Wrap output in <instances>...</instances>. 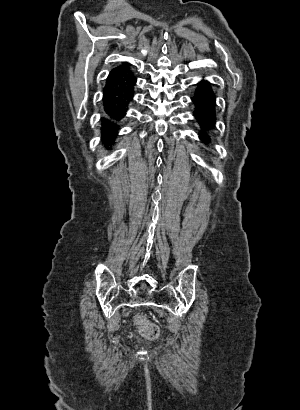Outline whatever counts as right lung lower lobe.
Listing matches in <instances>:
<instances>
[{
    "label": "right lung lower lobe",
    "instance_id": "98d812e1",
    "mask_svg": "<svg viewBox=\"0 0 300 410\" xmlns=\"http://www.w3.org/2000/svg\"><path fill=\"white\" fill-rule=\"evenodd\" d=\"M136 77L128 63L113 68L103 88L102 105L106 117L101 119L102 136L106 143H112L119 130V121L126 115L134 96Z\"/></svg>",
    "mask_w": 300,
    "mask_h": 410
}]
</instances>
